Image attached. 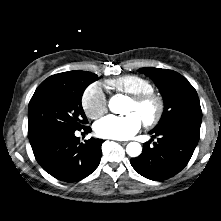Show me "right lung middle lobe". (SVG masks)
<instances>
[{
    "label": "right lung middle lobe",
    "mask_w": 221,
    "mask_h": 221,
    "mask_svg": "<svg viewBox=\"0 0 221 221\" xmlns=\"http://www.w3.org/2000/svg\"><path fill=\"white\" fill-rule=\"evenodd\" d=\"M96 80V74L78 70L44 80L29 103L28 137L55 128H83L87 118L81 105L82 94Z\"/></svg>",
    "instance_id": "dd1d6c3e"
}]
</instances>
